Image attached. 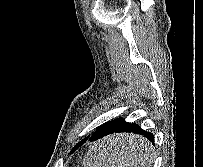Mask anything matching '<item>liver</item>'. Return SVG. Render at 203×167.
<instances>
[{
	"label": "liver",
	"mask_w": 203,
	"mask_h": 167,
	"mask_svg": "<svg viewBox=\"0 0 203 167\" xmlns=\"http://www.w3.org/2000/svg\"><path fill=\"white\" fill-rule=\"evenodd\" d=\"M130 137H135V136H133V135H131V136H129V135H117L116 137H115V139L117 140V141H122V142H124V140H126L127 139V142H129V138ZM130 143V142H129ZM123 144V143H122ZM131 144V143H130ZM122 150V152H123V158L124 159H127V160H135L134 159V154H135V150H131L130 148H129V150H128V148H121V149H119V151H121ZM139 165V162H137V164H134L133 165V167H136V166H138Z\"/></svg>",
	"instance_id": "obj_1"
}]
</instances>
